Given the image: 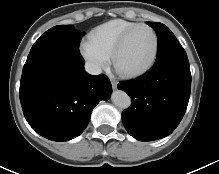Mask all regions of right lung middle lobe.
Listing matches in <instances>:
<instances>
[{"label":"right lung middle lobe","instance_id":"1","mask_svg":"<svg viewBox=\"0 0 219 174\" xmlns=\"http://www.w3.org/2000/svg\"><path fill=\"white\" fill-rule=\"evenodd\" d=\"M83 35L84 32L73 29L71 25L52 27L34 43L24 66L58 50L79 51V43Z\"/></svg>","mask_w":219,"mask_h":174}]
</instances>
